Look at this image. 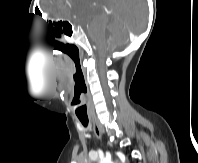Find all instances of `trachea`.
I'll return each mask as SVG.
<instances>
[{
  "label": "trachea",
  "mask_w": 198,
  "mask_h": 163,
  "mask_svg": "<svg viewBox=\"0 0 198 163\" xmlns=\"http://www.w3.org/2000/svg\"><path fill=\"white\" fill-rule=\"evenodd\" d=\"M83 126L87 127L88 125V118L87 117H78Z\"/></svg>",
  "instance_id": "obj_1"
}]
</instances>
